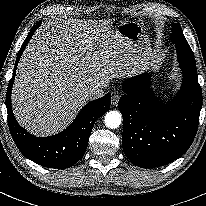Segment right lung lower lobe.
I'll use <instances>...</instances> for the list:
<instances>
[{
	"label": "right lung lower lobe",
	"instance_id": "obj_1",
	"mask_svg": "<svg viewBox=\"0 0 206 206\" xmlns=\"http://www.w3.org/2000/svg\"><path fill=\"white\" fill-rule=\"evenodd\" d=\"M39 22L30 30L27 38L17 55L15 68L21 54L31 39ZM15 78V69L9 82L6 107L8 113V125L13 140L20 152L31 161L48 168H68L78 162L84 155L88 140L95 121L104 115L111 104V94L88 103L75 120L62 132L49 137H35L22 128L16 121L11 107V91Z\"/></svg>",
	"mask_w": 206,
	"mask_h": 206
}]
</instances>
